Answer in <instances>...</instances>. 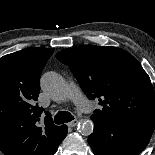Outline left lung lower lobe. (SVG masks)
Returning <instances> with one entry per match:
<instances>
[{"label":"left lung lower lobe","mask_w":155,"mask_h":155,"mask_svg":"<svg viewBox=\"0 0 155 155\" xmlns=\"http://www.w3.org/2000/svg\"><path fill=\"white\" fill-rule=\"evenodd\" d=\"M88 142L95 155H138L149 143L155 120H107L91 117Z\"/></svg>","instance_id":"0a47b994"}]
</instances>
